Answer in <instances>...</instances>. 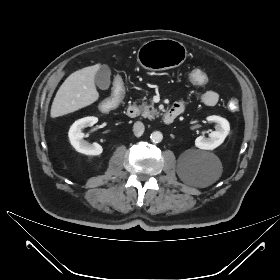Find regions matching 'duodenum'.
Returning <instances> with one entry per match:
<instances>
[{
	"label": "duodenum",
	"mask_w": 280,
	"mask_h": 280,
	"mask_svg": "<svg viewBox=\"0 0 280 280\" xmlns=\"http://www.w3.org/2000/svg\"><path fill=\"white\" fill-rule=\"evenodd\" d=\"M182 112V109L181 108H178V107H171L170 109H168L166 111V113L164 114V117H163V121L165 124H170L172 123L175 118L181 114ZM138 114V108L136 105L134 104H130L127 106L126 108V115L129 117V118H135Z\"/></svg>",
	"instance_id": "410a0bca"
}]
</instances>
